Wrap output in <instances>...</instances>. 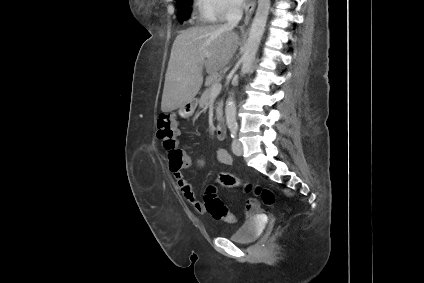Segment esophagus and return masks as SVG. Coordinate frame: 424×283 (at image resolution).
<instances>
[{"mask_svg": "<svg viewBox=\"0 0 424 283\" xmlns=\"http://www.w3.org/2000/svg\"><path fill=\"white\" fill-rule=\"evenodd\" d=\"M255 6H256V0H248V3L245 7V20H244L245 25L248 24L254 12Z\"/></svg>", "mask_w": 424, "mask_h": 283, "instance_id": "esophagus-1", "label": "esophagus"}]
</instances>
